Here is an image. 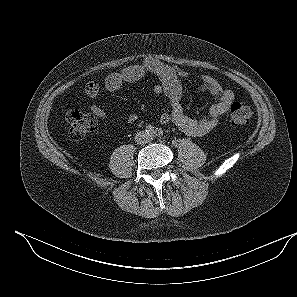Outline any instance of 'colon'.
<instances>
[{"instance_id":"1","label":"colon","mask_w":297,"mask_h":297,"mask_svg":"<svg viewBox=\"0 0 297 297\" xmlns=\"http://www.w3.org/2000/svg\"><path fill=\"white\" fill-rule=\"evenodd\" d=\"M253 116L250 105L235 101L229 108V119L231 124L242 126L249 123ZM69 123V136L72 140H80L97 128V120L90 114L82 112L79 108H70L66 113Z\"/></svg>"}]
</instances>
